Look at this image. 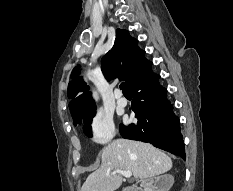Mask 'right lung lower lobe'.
Returning <instances> with one entry per match:
<instances>
[{
    "label": "right lung lower lobe",
    "mask_w": 233,
    "mask_h": 191,
    "mask_svg": "<svg viewBox=\"0 0 233 191\" xmlns=\"http://www.w3.org/2000/svg\"><path fill=\"white\" fill-rule=\"evenodd\" d=\"M151 66L152 62L146 59L128 84L134 97L131 109L138 122L127 127L120 125V134L126 139L149 142L185 160L179 118L172 112V105L166 98L167 90L159 84L160 76Z\"/></svg>",
    "instance_id": "98d812e1"
}]
</instances>
